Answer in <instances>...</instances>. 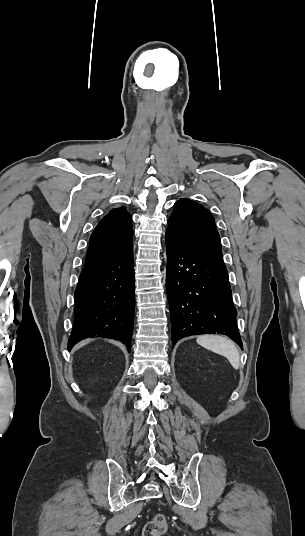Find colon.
Returning a JSON list of instances; mask_svg holds the SVG:
<instances>
[{"mask_svg": "<svg viewBox=\"0 0 305 536\" xmlns=\"http://www.w3.org/2000/svg\"><path fill=\"white\" fill-rule=\"evenodd\" d=\"M168 528L167 518L158 514L144 526L142 536H164Z\"/></svg>", "mask_w": 305, "mask_h": 536, "instance_id": "5ec220e1", "label": "colon"}]
</instances>
